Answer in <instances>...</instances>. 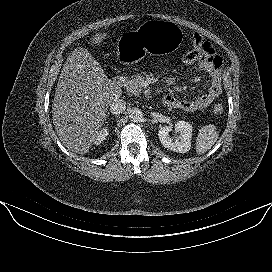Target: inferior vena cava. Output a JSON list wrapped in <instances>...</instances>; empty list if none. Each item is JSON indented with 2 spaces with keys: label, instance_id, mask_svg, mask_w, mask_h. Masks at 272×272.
<instances>
[{
  "label": "inferior vena cava",
  "instance_id": "602c4592",
  "mask_svg": "<svg viewBox=\"0 0 272 272\" xmlns=\"http://www.w3.org/2000/svg\"><path fill=\"white\" fill-rule=\"evenodd\" d=\"M126 109V102L123 99H115L110 105V112L113 115H119Z\"/></svg>",
  "mask_w": 272,
  "mask_h": 272
}]
</instances>
